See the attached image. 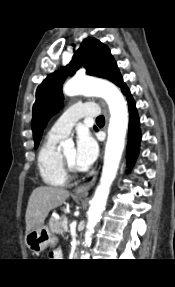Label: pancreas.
Segmentation results:
<instances>
[{
    "instance_id": "obj_1",
    "label": "pancreas",
    "mask_w": 175,
    "mask_h": 287,
    "mask_svg": "<svg viewBox=\"0 0 175 287\" xmlns=\"http://www.w3.org/2000/svg\"><path fill=\"white\" fill-rule=\"evenodd\" d=\"M63 218L64 216H61L60 218H55V217L50 218L49 226H50V230L53 233L62 234L64 232L63 221H62Z\"/></svg>"
}]
</instances>
